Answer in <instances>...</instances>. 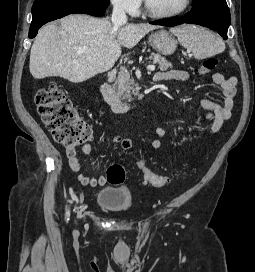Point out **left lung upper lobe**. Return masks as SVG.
I'll return each instance as SVG.
<instances>
[{"instance_id": "left-lung-upper-lobe-1", "label": "left lung upper lobe", "mask_w": 255, "mask_h": 272, "mask_svg": "<svg viewBox=\"0 0 255 272\" xmlns=\"http://www.w3.org/2000/svg\"><path fill=\"white\" fill-rule=\"evenodd\" d=\"M201 0H193L194 4L200 2Z\"/></svg>"}]
</instances>
